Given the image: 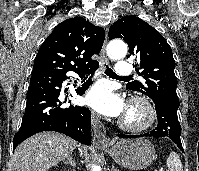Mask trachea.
Segmentation results:
<instances>
[{
	"label": "trachea",
	"mask_w": 199,
	"mask_h": 171,
	"mask_svg": "<svg viewBox=\"0 0 199 171\" xmlns=\"http://www.w3.org/2000/svg\"><path fill=\"white\" fill-rule=\"evenodd\" d=\"M105 73H106L107 75H109V76L120 77V76H118L117 74H115V72H114L111 68H109L108 66H106ZM124 78H129V76L124 77Z\"/></svg>",
	"instance_id": "3493384b"
}]
</instances>
